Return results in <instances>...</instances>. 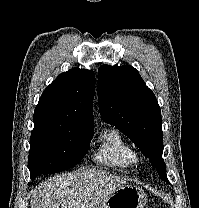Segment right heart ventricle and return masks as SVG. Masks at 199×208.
Listing matches in <instances>:
<instances>
[{
  "label": "right heart ventricle",
  "instance_id": "e07e8e85",
  "mask_svg": "<svg viewBox=\"0 0 199 208\" xmlns=\"http://www.w3.org/2000/svg\"><path fill=\"white\" fill-rule=\"evenodd\" d=\"M96 162L120 171L130 169L136 160L133 147L115 128L104 131L94 154Z\"/></svg>",
  "mask_w": 199,
  "mask_h": 208
}]
</instances>
